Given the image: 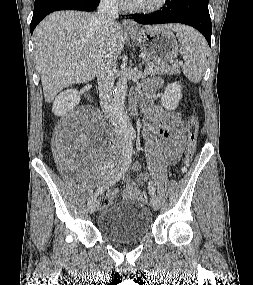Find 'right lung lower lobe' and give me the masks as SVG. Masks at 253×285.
<instances>
[{
	"instance_id": "1",
	"label": "right lung lower lobe",
	"mask_w": 253,
	"mask_h": 285,
	"mask_svg": "<svg viewBox=\"0 0 253 285\" xmlns=\"http://www.w3.org/2000/svg\"><path fill=\"white\" fill-rule=\"evenodd\" d=\"M99 0H35L34 12L30 24L31 34L37 24L49 13L58 10L93 11Z\"/></svg>"
}]
</instances>
